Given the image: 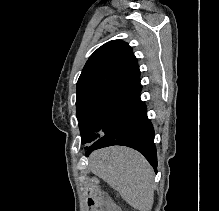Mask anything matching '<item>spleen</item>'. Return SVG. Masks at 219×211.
Segmentation results:
<instances>
[{
  "mask_svg": "<svg viewBox=\"0 0 219 211\" xmlns=\"http://www.w3.org/2000/svg\"><path fill=\"white\" fill-rule=\"evenodd\" d=\"M89 167L92 173L107 181L134 209L151 211L154 171L142 153L122 145L103 147L91 153Z\"/></svg>",
  "mask_w": 219,
  "mask_h": 211,
  "instance_id": "spleen-1",
  "label": "spleen"
}]
</instances>
